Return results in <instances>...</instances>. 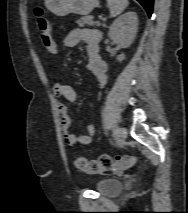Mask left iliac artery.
Segmentation results:
<instances>
[{
  "label": "left iliac artery",
  "mask_w": 188,
  "mask_h": 213,
  "mask_svg": "<svg viewBox=\"0 0 188 213\" xmlns=\"http://www.w3.org/2000/svg\"><path fill=\"white\" fill-rule=\"evenodd\" d=\"M113 136L116 138L117 136H119L118 135V129L117 128H115L114 130H113Z\"/></svg>",
  "instance_id": "obj_1"
}]
</instances>
